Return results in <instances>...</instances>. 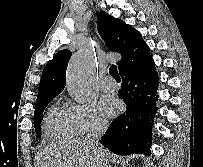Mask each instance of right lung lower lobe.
Listing matches in <instances>:
<instances>
[{"instance_id":"1","label":"right lung lower lobe","mask_w":203,"mask_h":167,"mask_svg":"<svg viewBox=\"0 0 203 167\" xmlns=\"http://www.w3.org/2000/svg\"><path fill=\"white\" fill-rule=\"evenodd\" d=\"M118 95L126 104V111L115 118L100 142L118 155L134 152L150 155L151 126L157 107L158 74L150 56L136 67L120 73Z\"/></svg>"}]
</instances>
